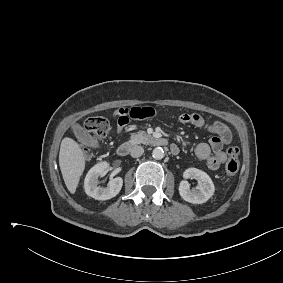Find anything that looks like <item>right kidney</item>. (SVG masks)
<instances>
[{"label": "right kidney", "instance_id": "ca27d5eb", "mask_svg": "<svg viewBox=\"0 0 283 283\" xmlns=\"http://www.w3.org/2000/svg\"><path fill=\"white\" fill-rule=\"evenodd\" d=\"M108 171L109 165L106 162L98 163L88 171L84 180V188L88 196L97 200H108L120 192L123 185L121 177L111 179L106 187L98 186V178Z\"/></svg>", "mask_w": 283, "mask_h": 283}]
</instances>
